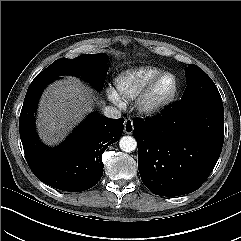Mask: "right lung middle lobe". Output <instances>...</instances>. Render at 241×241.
<instances>
[{
	"instance_id": "right-lung-middle-lobe-1",
	"label": "right lung middle lobe",
	"mask_w": 241,
	"mask_h": 241,
	"mask_svg": "<svg viewBox=\"0 0 241 241\" xmlns=\"http://www.w3.org/2000/svg\"><path fill=\"white\" fill-rule=\"evenodd\" d=\"M108 57L101 54H83L75 59L60 58L39 73L33 82L50 81L62 75H76L84 78L98 91L103 90L107 75Z\"/></svg>"
}]
</instances>
